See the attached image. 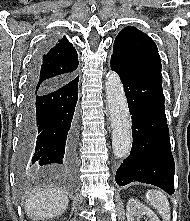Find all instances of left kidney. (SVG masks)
Instances as JSON below:
<instances>
[{"label":"left kidney","mask_w":190,"mask_h":221,"mask_svg":"<svg viewBox=\"0 0 190 221\" xmlns=\"http://www.w3.org/2000/svg\"><path fill=\"white\" fill-rule=\"evenodd\" d=\"M126 208L127 221H140V218L143 215H145L146 219L149 221H160L157 215L150 210V208L133 198L128 200Z\"/></svg>","instance_id":"left-kidney-1"}]
</instances>
